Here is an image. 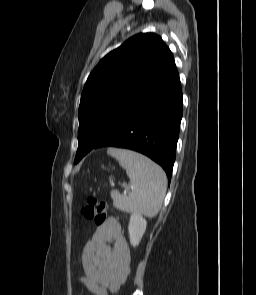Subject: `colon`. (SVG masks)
Masks as SVG:
<instances>
[{"label": "colon", "instance_id": "5ec220e1", "mask_svg": "<svg viewBox=\"0 0 256 295\" xmlns=\"http://www.w3.org/2000/svg\"><path fill=\"white\" fill-rule=\"evenodd\" d=\"M81 214L86 219L94 220L97 225H101L107 218V204L90 195L87 204L81 209Z\"/></svg>", "mask_w": 256, "mask_h": 295}]
</instances>
